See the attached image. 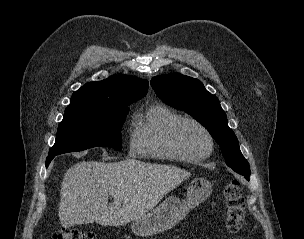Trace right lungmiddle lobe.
I'll list each match as a JSON object with an SVG mask.
<instances>
[{
    "mask_svg": "<svg viewBox=\"0 0 304 239\" xmlns=\"http://www.w3.org/2000/svg\"><path fill=\"white\" fill-rule=\"evenodd\" d=\"M127 112L126 105L115 110L65 113L49 155L82 151L98 146L121 150L120 129Z\"/></svg>",
    "mask_w": 304,
    "mask_h": 239,
    "instance_id": "obj_1",
    "label": "right lung middle lobe"
}]
</instances>
